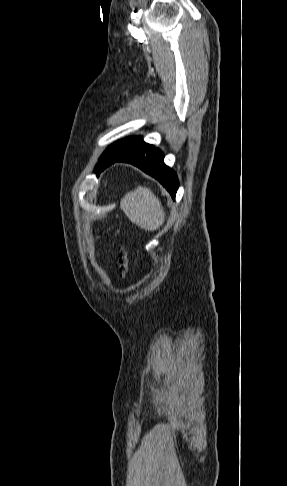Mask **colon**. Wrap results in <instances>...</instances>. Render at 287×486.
<instances>
[{
  "instance_id": "5ec220e1",
  "label": "colon",
  "mask_w": 287,
  "mask_h": 486,
  "mask_svg": "<svg viewBox=\"0 0 287 486\" xmlns=\"http://www.w3.org/2000/svg\"><path fill=\"white\" fill-rule=\"evenodd\" d=\"M117 263L120 274L124 275L127 272L129 266V257L124 250H120Z\"/></svg>"
}]
</instances>
